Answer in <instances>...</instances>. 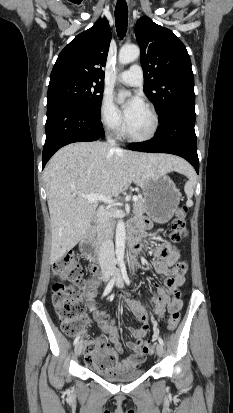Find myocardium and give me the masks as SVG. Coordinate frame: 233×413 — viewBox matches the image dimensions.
I'll use <instances>...</instances> for the list:
<instances>
[{
    "label": "myocardium",
    "mask_w": 233,
    "mask_h": 413,
    "mask_svg": "<svg viewBox=\"0 0 233 413\" xmlns=\"http://www.w3.org/2000/svg\"><path fill=\"white\" fill-rule=\"evenodd\" d=\"M143 106L147 109V111L149 112V114L151 116L152 127H151V130L149 131L148 134L143 135V136H135V135H133L129 132L128 126L126 124L125 128H124V135L131 142H137V143L148 142V141L154 139L155 136L157 135L158 131H159L160 120H159V116H158L155 108L149 103H143Z\"/></svg>",
    "instance_id": "myocardium-1"
}]
</instances>
